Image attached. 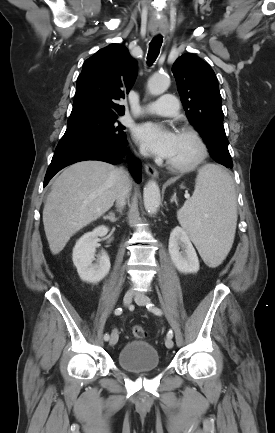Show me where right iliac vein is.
<instances>
[{
    "label": "right iliac vein",
    "mask_w": 275,
    "mask_h": 433,
    "mask_svg": "<svg viewBox=\"0 0 275 433\" xmlns=\"http://www.w3.org/2000/svg\"><path fill=\"white\" fill-rule=\"evenodd\" d=\"M134 294L132 292H127L124 297H123V303L125 306L130 305V303L132 302ZM119 335H118V331L117 330H113L111 333V337H110V341L109 344L111 346L115 345L118 341Z\"/></svg>",
    "instance_id": "obj_1"
}]
</instances>
